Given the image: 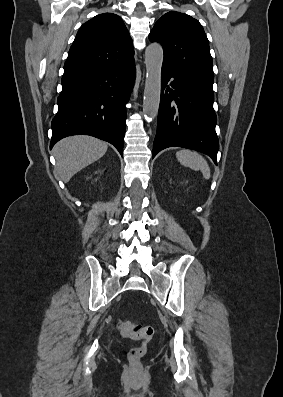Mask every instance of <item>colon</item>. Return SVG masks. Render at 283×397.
Masks as SVG:
<instances>
[{
    "label": "colon",
    "mask_w": 283,
    "mask_h": 397,
    "mask_svg": "<svg viewBox=\"0 0 283 397\" xmlns=\"http://www.w3.org/2000/svg\"><path fill=\"white\" fill-rule=\"evenodd\" d=\"M117 329L123 337L142 341L141 346L130 350V358L132 360H138L143 357L147 351V343L151 340L154 333L152 327L142 326L130 320H119L117 322Z\"/></svg>",
    "instance_id": "obj_1"
}]
</instances>
